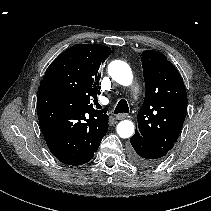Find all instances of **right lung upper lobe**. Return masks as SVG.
Returning <instances> with one entry per match:
<instances>
[{"label": "right lung upper lobe", "instance_id": "right-lung-upper-lobe-1", "mask_svg": "<svg viewBox=\"0 0 211 211\" xmlns=\"http://www.w3.org/2000/svg\"><path fill=\"white\" fill-rule=\"evenodd\" d=\"M111 52V49L104 45L76 44L50 64L40 86L62 89L78 99L87 110L107 117L105 109L95 110L90 101L97 99L100 94V65Z\"/></svg>", "mask_w": 211, "mask_h": 211}]
</instances>
